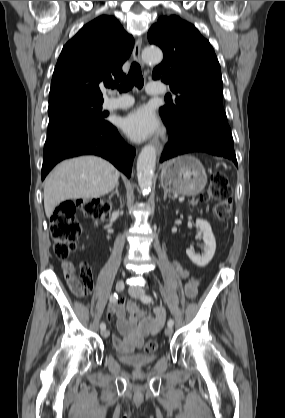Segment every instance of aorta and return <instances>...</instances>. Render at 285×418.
<instances>
[{
	"label": "aorta",
	"instance_id": "obj_1",
	"mask_svg": "<svg viewBox=\"0 0 285 418\" xmlns=\"http://www.w3.org/2000/svg\"><path fill=\"white\" fill-rule=\"evenodd\" d=\"M142 59L146 63L157 64L162 61L163 54L158 48H145ZM155 164L156 149L153 145H146L137 160V179L143 195H148L151 191Z\"/></svg>",
	"mask_w": 285,
	"mask_h": 418
}]
</instances>
